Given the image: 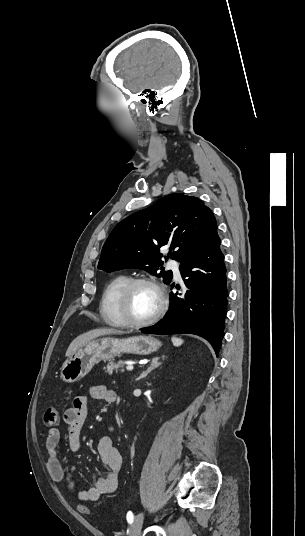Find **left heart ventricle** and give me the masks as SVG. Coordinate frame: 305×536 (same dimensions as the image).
Instances as JSON below:
<instances>
[{"instance_id": "obj_1", "label": "left heart ventricle", "mask_w": 305, "mask_h": 536, "mask_svg": "<svg viewBox=\"0 0 305 536\" xmlns=\"http://www.w3.org/2000/svg\"><path fill=\"white\" fill-rule=\"evenodd\" d=\"M159 305V295L154 287L148 284L138 285L133 289L128 300L129 318L144 319L155 313Z\"/></svg>"}]
</instances>
